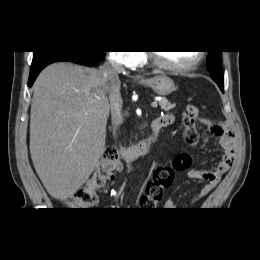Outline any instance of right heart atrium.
Instances as JSON below:
<instances>
[{"instance_id":"d8ad5b80","label":"right heart atrium","mask_w":260,"mask_h":260,"mask_svg":"<svg viewBox=\"0 0 260 260\" xmlns=\"http://www.w3.org/2000/svg\"><path fill=\"white\" fill-rule=\"evenodd\" d=\"M113 59L122 66L133 68L142 62L143 55L139 51H119L113 53Z\"/></svg>"}]
</instances>
